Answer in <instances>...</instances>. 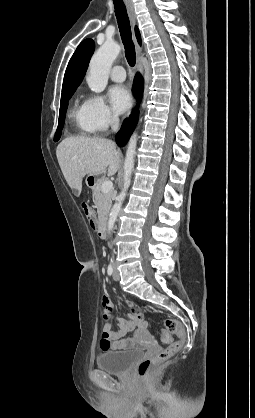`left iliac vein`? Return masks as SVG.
I'll use <instances>...</instances> for the list:
<instances>
[{
    "instance_id": "obj_1",
    "label": "left iliac vein",
    "mask_w": 255,
    "mask_h": 418,
    "mask_svg": "<svg viewBox=\"0 0 255 418\" xmlns=\"http://www.w3.org/2000/svg\"><path fill=\"white\" fill-rule=\"evenodd\" d=\"M119 278H120V276H119V271H118V269H117V267H116V265H115V266H114L113 279H114L115 281H118V280H119Z\"/></svg>"
}]
</instances>
